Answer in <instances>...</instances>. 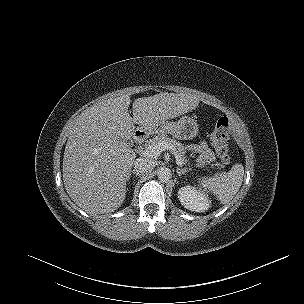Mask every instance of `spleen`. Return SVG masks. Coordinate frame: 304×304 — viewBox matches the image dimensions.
Instances as JSON below:
<instances>
[{"label": "spleen", "instance_id": "obj_1", "mask_svg": "<svg viewBox=\"0 0 304 304\" xmlns=\"http://www.w3.org/2000/svg\"><path fill=\"white\" fill-rule=\"evenodd\" d=\"M244 176L242 164H235L227 173L216 174L213 177H203L200 184L212 192L222 203H229L239 191Z\"/></svg>", "mask_w": 304, "mask_h": 304}]
</instances>
